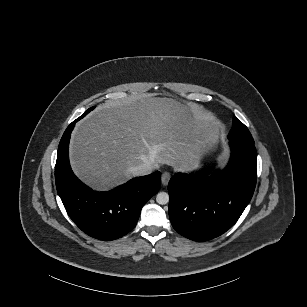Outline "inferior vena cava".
<instances>
[{
	"instance_id": "obj_1",
	"label": "inferior vena cava",
	"mask_w": 307,
	"mask_h": 307,
	"mask_svg": "<svg viewBox=\"0 0 307 307\" xmlns=\"http://www.w3.org/2000/svg\"><path fill=\"white\" fill-rule=\"evenodd\" d=\"M128 170L133 176H143L151 173L152 167L148 163H143L135 167H130Z\"/></svg>"
}]
</instances>
